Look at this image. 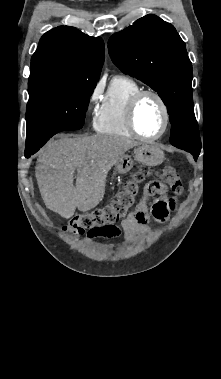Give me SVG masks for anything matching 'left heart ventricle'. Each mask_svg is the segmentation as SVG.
Instances as JSON below:
<instances>
[{
    "label": "left heart ventricle",
    "mask_w": 221,
    "mask_h": 379,
    "mask_svg": "<svg viewBox=\"0 0 221 379\" xmlns=\"http://www.w3.org/2000/svg\"><path fill=\"white\" fill-rule=\"evenodd\" d=\"M164 123V116L158 101L152 96L144 97L136 111V125L145 136L157 135Z\"/></svg>",
    "instance_id": "obj_1"
}]
</instances>
